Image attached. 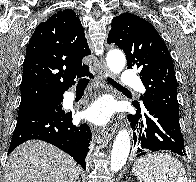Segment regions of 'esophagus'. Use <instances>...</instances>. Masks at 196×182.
I'll list each match as a JSON object with an SVG mask.
<instances>
[{"label": "esophagus", "mask_w": 196, "mask_h": 182, "mask_svg": "<svg viewBox=\"0 0 196 182\" xmlns=\"http://www.w3.org/2000/svg\"><path fill=\"white\" fill-rule=\"evenodd\" d=\"M110 75V71L107 68L106 64L101 61L100 66H99V70H98V76L99 78L103 81V83H105V76H109ZM103 135L106 136H111L114 134L115 132V127L111 126H107V127H103L101 130Z\"/></svg>", "instance_id": "obj_1"}]
</instances>
